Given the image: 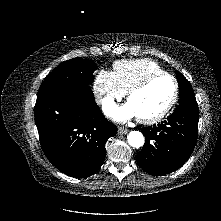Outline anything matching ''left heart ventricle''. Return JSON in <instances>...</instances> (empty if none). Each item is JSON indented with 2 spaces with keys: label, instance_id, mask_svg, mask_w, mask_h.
I'll use <instances>...</instances> for the list:
<instances>
[{
  "label": "left heart ventricle",
  "instance_id": "b2bd125f",
  "mask_svg": "<svg viewBox=\"0 0 221 221\" xmlns=\"http://www.w3.org/2000/svg\"><path fill=\"white\" fill-rule=\"evenodd\" d=\"M174 86L169 78L154 80L128 101L137 117H151L161 112L173 96Z\"/></svg>",
  "mask_w": 221,
  "mask_h": 221
}]
</instances>
